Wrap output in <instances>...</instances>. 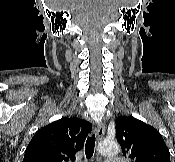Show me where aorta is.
<instances>
[{"mask_svg": "<svg viewBox=\"0 0 175 162\" xmlns=\"http://www.w3.org/2000/svg\"><path fill=\"white\" fill-rule=\"evenodd\" d=\"M102 155L111 156L119 152V145L115 140H103L98 147Z\"/></svg>", "mask_w": 175, "mask_h": 162, "instance_id": "aorta-1", "label": "aorta"}]
</instances>
